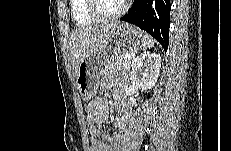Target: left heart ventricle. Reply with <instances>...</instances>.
<instances>
[{
    "instance_id": "b2bd125f",
    "label": "left heart ventricle",
    "mask_w": 231,
    "mask_h": 151,
    "mask_svg": "<svg viewBox=\"0 0 231 151\" xmlns=\"http://www.w3.org/2000/svg\"><path fill=\"white\" fill-rule=\"evenodd\" d=\"M123 2L120 0H97V9L102 15L114 14L121 8Z\"/></svg>"
}]
</instances>
